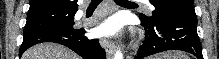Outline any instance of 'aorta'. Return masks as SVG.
I'll return each mask as SVG.
<instances>
[{"instance_id": "obj_1", "label": "aorta", "mask_w": 219, "mask_h": 59, "mask_svg": "<svg viewBox=\"0 0 219 59\" xmlns=\"http://www.w3.org/2000/svg\"><path fill=\"white\" fill-rule=\"evenodd\" d=\"M114 59H123V54L120 50L115 53Z\"/></svg>"}]
</instances>
